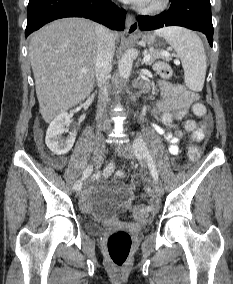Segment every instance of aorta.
Wrapping results in <instances>:
<instances>
[{
	"instance_id": "762f6f07",
	"label": "aorta",
	"mask_w": 233,
	"mask_h": 284,
	"mask_svg": "<svg viewBox=\"0 0 233 284\" xmlns=\"http://www.w3.org/2000/svg\"><path fill=\"white\" fill-rule=\"evenodd\" d=\"M134 56H135V50L130 49L125 52V54L122 56V58L119 61L118 71L120 76L125 80H128L131 75Z\"/></svg>"
}]
</instances>
